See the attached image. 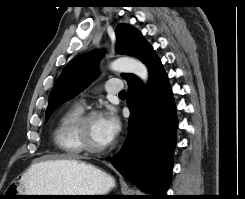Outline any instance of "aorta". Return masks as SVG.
<instances>
[{
  "label": "aorta",
  "instance_id": "aorta-1",
  "mask_svg": "<svg viewBox=\"0 0 245 199\" xmlns=\"http://www.w3.org/2000/svg\"><path fill=\"white\" fill-rule=\"evenodd\" d=\"M110 69L116 72H130L147 83L149 73L147 67L139 60L131 57H120L110 64Z\"/></svg>",
  "mask_w": 245,
  "mask_h": 199
}]
</instances>
